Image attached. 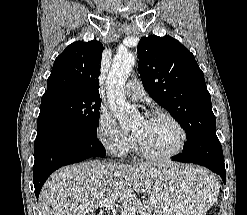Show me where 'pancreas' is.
Listing matches in <instances>:
<instances>
[{
  "label": "pancreas",
  "instance_id": "1",
  "mask_svg": "<svg viewBox=\"0 0 247 215\" xmlns=\"http://www.w3.org/2000/svg\"><path fill=\"white\" fill-rule=\"evenodd\" d=\"M129 206H136V212L139 213L140 215H155L154 209L151 206L149 202H146L144 200H133L130 202L123 210H128L127 207Z\"/></svg>",
  "mask_w": 247,
  "mask_h": 215
}]
</instances>
